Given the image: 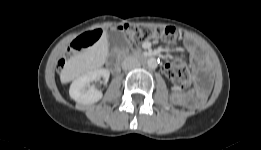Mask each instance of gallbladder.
<instances>
[{"instance_id":"obj_1","label":"gallbladder","mask_w":261,"mask_h":150,"mask_svg":"<svg viewBox=\"0 0 261 150\" xmlns=\"http://www.w3.org/2000/svg\"><path fill=\"white\" fill-rule=\"evenodd\" d=\"M107 41L110 51L123 50L127 46L125 35L121 31L109 30L107 32Z\"/></svg>"}]
</instances>
